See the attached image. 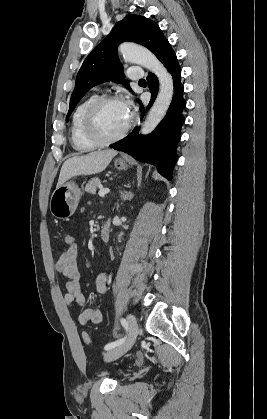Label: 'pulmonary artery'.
<instances>
[{"mask_svg": "<svg viewBox=\"0 0 267 419\" xmlns=\"http://www.w3.org/2000/svg\"><path fill=\"white\" fill-rule=\"evenodd\" d=\"M127 76L132 80H140L144 77V73L140 68L131 67L127 71Z\"/></svg>", "mask_w": 267, "mask_h": 419, "instance_id": "pulmonary-artery-1", "label": "pulmonary artery"}]
</instances>
